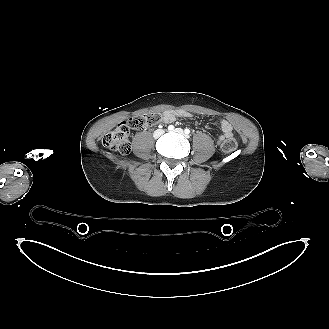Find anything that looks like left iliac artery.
Returning <instances> with one entry per match:
<instances>
[{"instance_id": "left-iliac-artery-1", "label": "left iliac artery", "mask_w": 329, "mask_h": 329, "mask_svg": "<svg viewBox=\"0 0 329 329\" xmlns=\"http://www.w3.org/2000/svg\"><path fill=\"white\" fill-rule=\"evenodd\" d=\"M185 134L189 135L190 134V130L189 129H185Z\"/></svg>"}]
</instances>
